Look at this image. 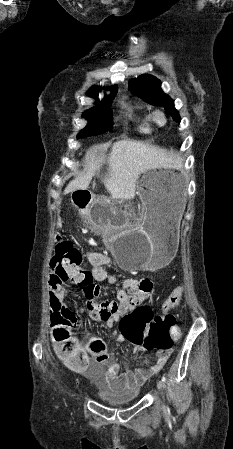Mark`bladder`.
<instances>
[{"label":"bladder","mask_w":233,"mask_h":449,"mask_svg":"<svg viewBox=\"0 0 233 449\" xmlns=\"http://www.w3.org/2000/svg\"><path fill=\"white\" fill-rule=\"evenodd\" d=\"M98 396L111 406H125L136 401L139 395L138 388L114 389L100 379L95 380Z\"/></svg>","instance_id":"31cf9c89"}]
</instances>
